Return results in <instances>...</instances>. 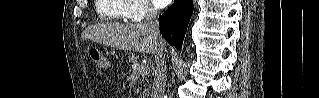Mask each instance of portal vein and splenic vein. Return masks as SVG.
<instances>
[{"mask_svg":"<svg viewBox=\"0 0 319 98\" xmlns=\"http://www.w3.org/2000/svg\"><path fill=\"white\" fill-rule=\"evenodd\" d=\"M146 68H147V67H146ZM132 70H133L135 73H137V74H142L143 72L146 71L144 68L138 67L137 64H134V65L132 66Z\"/></svg>","mask_w":319,"mask_h":98,"instance_id":"1","label":"portal vein and splenic vein"}]
</instances>
